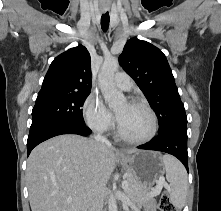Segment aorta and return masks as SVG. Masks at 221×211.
I'll use <instances>...</instances> for the list:
<instances>
[{
	"mask_svg": "<svg viewBox=\"0 0 221 211\" xmlns=\"http://www.w3.org/2000/svg\"><path fill=\"white\" fill-rule=\"evenodd\" d=\"M119 67L117 58L106 59L101 67L98 81L105 103L110 108H115L125 102L122 92L118 91L114 85V75ZM108 210L117 211L116 198L111 195L108 200Z\"/></svg>",
	"mask_w": 221,
	"mask_h": 211,
	"instance_id": "762f6f07",
	"label": "aorta"
}]
</instances>
